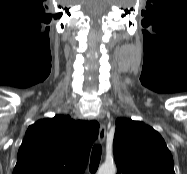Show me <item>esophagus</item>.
<instances>
[{
    "mask_svg": "<svg viewBox=\"0 0 187 174\" xmlns=\"http://www.w3.org/2000/svg\"><path fill=\"white\" fill-rule=\"evenodd\" d=\"M105 137H106V127L104 124H100L99 134H98L99 142L103 143L105 141Z\"/></svg>",
    "mask_w": 187,
    "mask_h": 174,
    "instance_id": "1",
    "label": "esophagus"
}]
</instances>
